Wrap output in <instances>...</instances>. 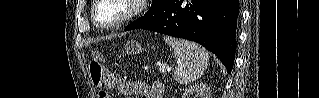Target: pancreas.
<instances>
[{"mask_svg":"<svg viewBox=\"0 0 319 98\" xmlns=\"http://www.w3.org/2000/svg\"><path fill=\"white\" fill-rule=\"evenodd\" d=\"M159 71L162 72V73H164L160 68H159Z\"/></svg>","mask_w":319,"mask_h":98,"instance_id":"pancreas-1","label":"pancreas"}]
</instances>
